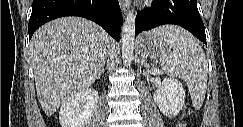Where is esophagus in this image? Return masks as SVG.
<instances>
[{"mask_svg":"<svg viewBox=\"0 0 243 127\" xmlns=\"http://www.w3.org/2000/svg\"><path fill=\"white\" fill-rule=\"evenodd\" d=\"M119 3H120L122 13L126 14L130 7V0H120Z\"/></svg>","mask_w":243,"mask_h":127,"instance_id":"esophagus-1","label":"esophagus"}]
</instances>
